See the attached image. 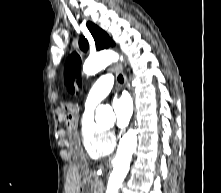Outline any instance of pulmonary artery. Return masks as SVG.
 <instances>
[{"label":"pulmonary artery","mask_w":221,"mask_h":193,"mask_svg":"<svg viewBox=\"0 0 221 193\" xmlns=\"http://www.w3.org/2000/svg\"><path fill=\"white\" fill-rule=\"evenodd\" d=\"M113 80L111 74H104L97 79L87 95L86 109H93L98 102L109 94L113 86Z\"/></svg>","instance_id":"e3ab8cb5"}]
</instances>
